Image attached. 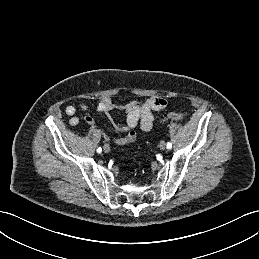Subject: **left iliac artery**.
Segmentation results:
<instances>
[{
	"label": "left iliac artery",
	"instance_id": "44dca946",
	"mask_svg": "<svg viewBox=\"0 0 259 259\" xmlns=\"http://www.w3.org/2000/svg\"><path fill=\"white\" fill-rule=\"evenodd\" d=\"M172 148V143L171 142H168L167 143V149H171Z\"/></svg>",
	"mask_w": 259,
	"mask_h": 259
}]
</instances>
